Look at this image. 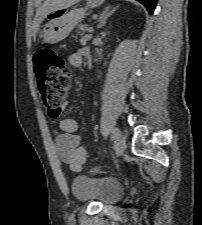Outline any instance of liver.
<instances>
[{
	"mask_svg": "<svg viewBox=\"0 0 202 225\" xmlns=\"http://www.w3.org/2000/svg\"><path fill=\"white\" fill-rule=\"evenodd\" d=\"M80 0H45L43 5L38 8L36 11V17L34 19L32 35L34 39L36 38V34L38 32L40 24L44 21V19L51 13L59 10L66 9L74 4L78 3Z\"/></svg>",
	"mask_w": 202,
	"mask_h": 225,
	"instance_id": "1",
	"label": "liver"
}]
</instances>
